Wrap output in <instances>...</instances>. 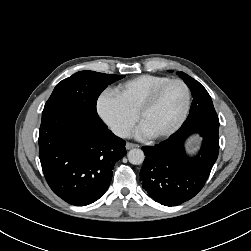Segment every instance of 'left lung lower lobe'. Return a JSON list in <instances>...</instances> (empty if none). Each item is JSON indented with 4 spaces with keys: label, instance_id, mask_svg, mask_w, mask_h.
I'll return each instance as SVG.
<instances>
[{
    "label": "left lung lower lobe",
    "instance_id": "0a47b994",
    "mask_svg": "<svg viewBox=\"0 0 251 251\" xmlns=\"http://www.w3.org/2000/svg\"><path fill=\"white\" fill-rule=\"evenodd\" d=\"M192 133L203 137L196 157H189L184 142ZM145 160L140 181L148 195L165 206L193 198L204 186L219 152V121L198 120L182 127L155 146H143Z\"/></svg>",
    "mask_w": 251,
    "mask_h": 251
}]
</instances>
